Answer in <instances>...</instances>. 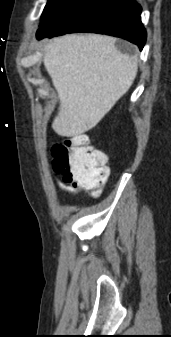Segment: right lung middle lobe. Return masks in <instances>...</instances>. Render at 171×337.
Returning a JSON list of instances; mask_svg holds the SVG:
<instances>
[{"label": "right lung middle lobe", "mask_w": 171, "mask_h": 337, "mask_svg": "<svg viewBox=\"0 0 171 337\" xmlns=\"http://www.w3.org/2000/svg\"><path fill=\"white\" fill-rule=\"evenodd\" d=\"M72 0H48L41 16L40 26L50 22L57 16Z\"/></svg>", "instance_id": "1"}]
</instances>
